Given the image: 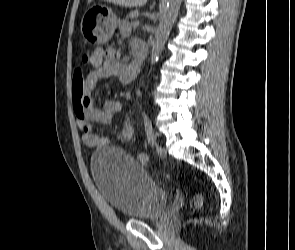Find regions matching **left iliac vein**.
<instances>
[{
  "label": "left iliac vein",
  "instance_id": "1",
  "mask_svg": "<svg viewBox=\"0 0 295 250\" xmlns=\"http://www.w3.org/2000/svg\"><path fill=\"white\" fill-rule=\"evenodd\" d=\"M155 148L159 155L166 154L165 149L162 147V145L159 142H155Z\"/></svg>",
  "mask_w": 295,
  "mask_h": 250
}]
</instances>
